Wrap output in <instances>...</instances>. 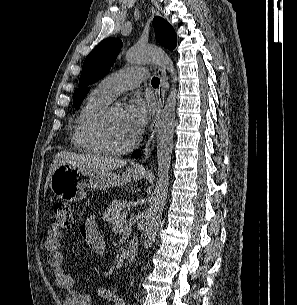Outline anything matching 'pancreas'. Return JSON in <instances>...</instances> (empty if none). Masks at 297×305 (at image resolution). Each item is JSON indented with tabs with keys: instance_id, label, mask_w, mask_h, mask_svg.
I'll return each mask as SVG.
<instances>
[{
	"instance_id": "1",
	"label": "pancreas",
	"mask_w": 297,
	"mask_h": 305,
	"mask_svg": "<svg viewBox=\"0 0 297 305\" xmlns=\"http://www.w3.org/2000/svg\"><path fill=\"white\" fill-rule=\"evenodd\" d=\"M125 215L123 211L122 202L119 200H113L109 207L103 214V219L111 224H115L118 220H121Z\"/></svg>"
}]
</instances>
